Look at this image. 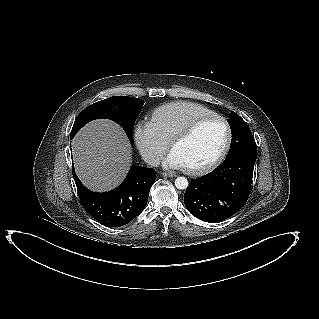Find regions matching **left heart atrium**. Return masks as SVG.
I'll use <instances>...</instances> for the list:
<instances>
[{
  "label": "left heart atrium",
  "instance_id": "1",
  "mask_svg": "<svg viewBox=\"0 0 319 319\" xmlns=\"http://www.w3.org/2000/svg\"><path fill=\"white\" fill-rule=\"evenodd\" d=\"M164 164L172 168L184 167L182 161L173 151H171V153L166 157V159L164 160Z\"/></svg>",
  "mask_w": 319,
  "mask_h": 319
}]
</instances>
